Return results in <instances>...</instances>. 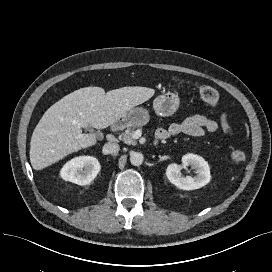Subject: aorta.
Returning <instances> with one entry per match:
<instances>
[{
	"label": "aorta",
	"instance_id": "obj_1",
	"mask_svg": "<svg viewBox=\"0 0 272 272\" xmlns=\"http://www.w3.org/2000/svg\"><path fill=\"white\" fill-rule=\"evenodd\" d=\"M144 161V156L140 152H133L130 155V162L134 166H140Z\"/></svg>",
	"mask_w": 272,
	"mask_h": 272
}]
</instances>
